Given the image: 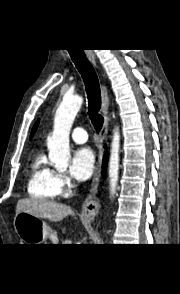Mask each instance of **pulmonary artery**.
Here are the masks:
<instances>
[{
    "label": "pulmonary artery",
    "mask_w": 180,
    "mask_h": 294,
    "mask_svg": "<svg viewBox=\"0 0 180 294\" xmlns=\"http://www.w3.org/2000/svg\"><path fill=\"white\" fill-rule=\"evenodd\" d=\"M71 136L77 143H85L88 139L87 132L83 128H75Z\"/></svg>",
    "instance_id": "pulmonary-artery-1"
}]
</instances>
